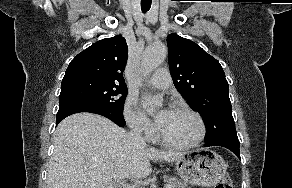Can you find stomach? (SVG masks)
Segmentation results:
<instances>
[{"label": "stomach", "mask_w": 292, "mask_h": 188, "mask_svg": "<svg viewBox=\"0 0 292 188\" xmlns=\"http://www.w3.org/2000/svg\"><path fill=\"white\" fill-rule=\"evenodd\" d=\"M175 169L185 182L211 187L225 176L227 164L215 151L198 148L183 153L182 157L175 161Z\"/></svg>", "instance_id": "obj_1"}]
</instances>
